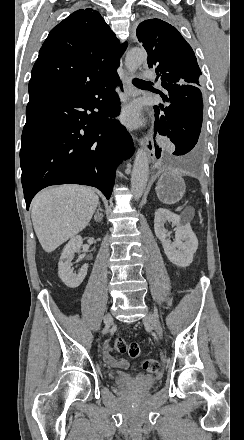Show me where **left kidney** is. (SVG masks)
<instances>
[{
	"label": "left kidney",
	"instance_id": "5707ae66",
	"mask_svg": "<svg viewBox=\"0 0 244 440\" xmlns=\"http://www.w3.org/2000/svg\"><path fill=\"white\" fill-rule=\"evenodd\" d=\"M166 222H171L172 226H176V228H174V244H171L170 240H167L168 236H170V232H168L164 226ZM154 232L157 238H159L168 260H170L172 264L180 266V268L190 266L198 248V240L189 222H184L181 216L172 214L170 210L158 208L155 212ZM182 240H185V242H182Z\"/></svg>",
	"mask_w": 244,
	"mask_h": 440
}]
</instances>
